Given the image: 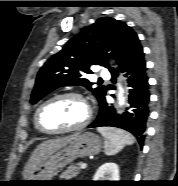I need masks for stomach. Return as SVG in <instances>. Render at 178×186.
<instances>
[{"label": "stomach", "mask_w": 178, "mask_h": 186, "mask_svg": "<svg viewBox=\"0 0 178 186\" xmlns=\"http://www.w3.org/2000/svg\"><path fill=\"white\" fill-rule=\"evenodd\" d=\"M102 141L98 135L92 132L78 134L67 145L48 156L35 171L24 181L31 186H45L62 167L72 163L75 159L95 155L100 152Z\"/></svg>", "instance_id": "stomach-1"}]
</instances>
